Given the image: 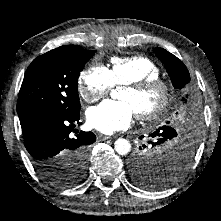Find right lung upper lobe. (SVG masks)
Returning a JSON list of instances; mask_svg holds the SVG:
<instances>
[{"label":"right lung upper lobe","mask_w":221,"mask_h":221,"mask_svg":"<svg viewBox=\"0 0 221 221\" xmlns=\"http://www.w3.org/2000/svg\"><path fill=\"white\" fill-rule=\"evenodd\" d=\"M63 47H77V46H75V45H65Z\"/></svg>","instance_id":"cb5924a9"}]
</instances>
